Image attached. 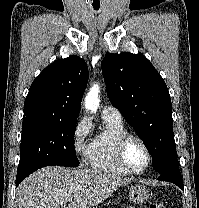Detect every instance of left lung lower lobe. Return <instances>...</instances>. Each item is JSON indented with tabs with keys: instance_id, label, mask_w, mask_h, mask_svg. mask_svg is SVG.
<instances>
[{
	"instance_id": "left-lung-lower-lobe-1",
	"label": "left lung lower lobe",
	"mask_w": 199,
	"mask_h": 208,
	"mask_svg": "<svg viewBox=\"0 0 199 208\" xmlns=\"http://www.w3.org/2000/svg\"><path fill=\"white\" fill-rule=\"evenodd\" d=\"M159 174H160L158 178L159 180L172 182L176 184L178 187H180L181 189H183L184 186H183L181 173L179 170V164H177L175 167H172L168 170L160 172Z\"/></svg>"
}]
</instances>
